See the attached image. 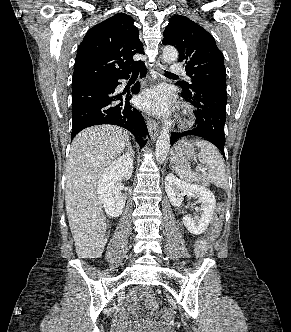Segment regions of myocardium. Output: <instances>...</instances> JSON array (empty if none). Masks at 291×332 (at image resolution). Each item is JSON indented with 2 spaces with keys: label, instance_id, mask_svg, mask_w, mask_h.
<instances>
[{
  "label": "myocardium",
  "instance_id": "obj_1",
  "mask_svg": "<svg viewBox=\"0 0 291 332\" xmlns=\"http://www.w3.org/2000/svg\"><path fill=\"white\" fill-rule=\"evenodd\" d=\"M192 124V116L190 109L186 108L182 113V116L179 121V126L181 128H187Z\"/></svg>",
  "mask_w": 291,
  "mask_h": 332
}]
</instances>
